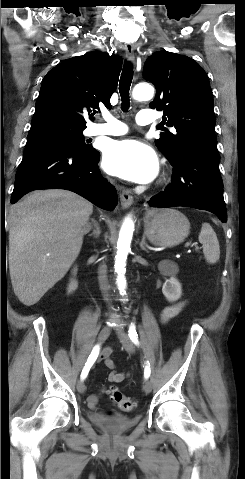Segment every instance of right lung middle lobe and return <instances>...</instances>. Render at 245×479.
I'll use <instances>...</instances> for the list:
<instances>
[{
	"instance_id": "obj_1",
	"label": "right lung middle lobe",
	"mask_w": 245,
	"mask_h": 479,
	"mask_svg": "<svg viewBox=\"0 0 245 479\" xmlns=\"http://www.w3.org/2000/svg\"><path fill=\"white\" fill-rule=\"evenodd\" d=\"M83 130L84 129H72L66 126H48L30 129L24 153L57 143H66L82 150L91 151L93 148L84 142Z\"/></svg>"
}]
</instances>
